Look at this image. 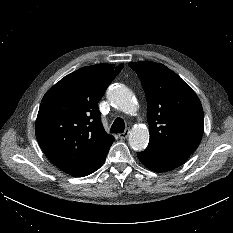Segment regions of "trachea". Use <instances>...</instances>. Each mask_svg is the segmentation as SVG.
<instances>
[{
    "label": "trachea",
    "instance_id": "trachea-1",
    "mask_svg": "<svg viewBox=\"0 0 233 233\" xmlns=\"http://www.w3.org/2000/svg\"><path fill=\"white\" fill-rule=\"evenodd\" d=\"M125 129V123L123 119L121 118H116L115 121L113 122L111 126V132L112 133H123Z\"/></svg>",
    "mask_w": 233,
    "mask_h": 233
}]
</instances>
